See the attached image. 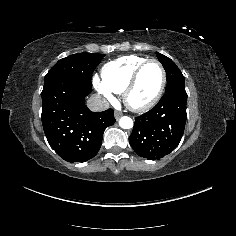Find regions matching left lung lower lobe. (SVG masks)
<instances>
[{
	"mask_svg": "<svg viewBox=\"0 0 236 236\" xmlns=\"http://www.w3.org/2000/svg\"><path fill=\"white\" fill-rule=\"evenodd\" d=\"M186 102L185 87H172L153 109L135 118L129 143L139 156L157 160L178 146L187 119Z\"/></svg>",
	"mask_w": 236,
	"mask_h": 236,
	"instance_id": "1",
	"label": "left lung lower lobe"
}]
</instances>
